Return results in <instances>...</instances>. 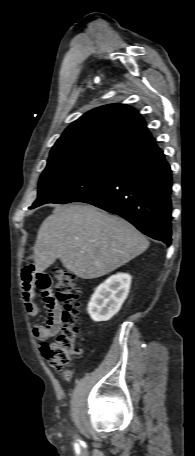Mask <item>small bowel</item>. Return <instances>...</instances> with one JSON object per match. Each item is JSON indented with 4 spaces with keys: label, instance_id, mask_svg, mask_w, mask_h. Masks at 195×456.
<instances>
[{
    "label": "small bowel",
    "instance_id": "small-bowel-1",
    "mask_svg": "<svg viewBox=\"0 0 195 456\" xmlns=\"http://www.w3.org/2000/svg\"><path fill=\"white\" fill-rule=\"evenodd\" d=\"M52 280L49 275L36 270L35 265L27 264L22 271V291L25 308L29 316H37L39 307L33 299L35 288L43 292L44 301L48 308V318L46 325L33 327L35 338L45 341L54 336L60 328V309L59 305L51 293Z\"/></svg>",
    "mask_w": 195,
    "mask_h": 456
}]
</instances>
